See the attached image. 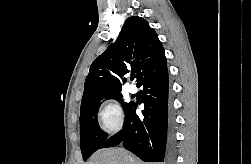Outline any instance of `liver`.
Returning a JSON list of instances; mask_svg holds the SVG:
<instances>
[{
  "mask_svg": "<svg viewBox=\"0 0 251 164\" xmlns=\"http://www.w3.org/2000/svg\"><path fill=\"white\" fill-rule=\"evenodd\" d=\"M87 164H143L122 148L98 150Z\"/></svg>",
  "mask_w": 251,
  "mask_h": 164,
  "instance_id": "6515ba94",
  "label": "liver"
}]
</instances>
